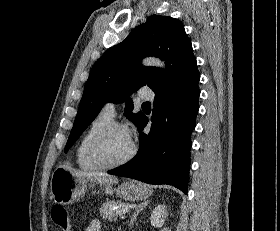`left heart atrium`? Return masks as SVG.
Listing matches in <instances>:
<instances>
[{"label":"left heart atrium","instance_id":"obj_1","mask_svg":"<svg viewBox=\"0 0 280 231\" xmlns=\"http://www.w3.org/2000/svg\"><path fill=\"white\" fill-rule=\"evenodd\" d=\"M125 136L127 141L131 144L133 141V134L129 129H125Z\"/></svg>","mask_w":280,"mask_h":231}]
</instances>
